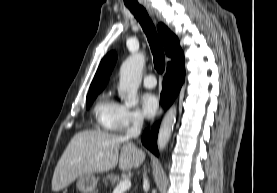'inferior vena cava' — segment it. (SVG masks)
I'll use <instances>...</instances> for the list:
<instances>
[{
	"label": "inferior vena cava",
	"mask_w": 277,
	"mask_h": 193,
	"mask_svg": "<svg viewBox=\"0 0 277 193\" xmlns=\"http://www.w3.org/2000/svg\"><path fill=\"white\" fill-rule=\"evenodd\" d=\"M142 126H143V117L138 116V115L133 116L132 126H131V128H129L127 130L125 137L127 139L137 138L141 133ZM143 187L144 188H149V183H148V179L146 177V174H144V178H143Z\"/></svg>",
	"instance_id": "obj_1"
}]
</instances>
